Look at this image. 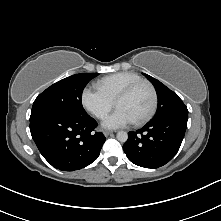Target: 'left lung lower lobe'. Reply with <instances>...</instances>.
Segmentation results:
<instances>
[{
  "label": "left lung lower lobe",
  "instance_id": "0a47b994",
  "mask_svg": "<svg viewBox=\"0 0 221 221\" xmlns=\"http://www.w3.org/2000/svg\"><path fill=\"white\" fill-rule=\"evenodd\" d=\"M188 114H177L150 121L136 132L128 133L123 145L127 158L144 168H158L178 152L187 128Z\"/></svg>",
  "mask_w": 221,
  "mask_h": 221
}]
</instances>
